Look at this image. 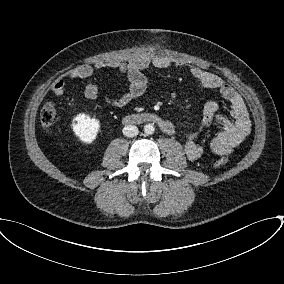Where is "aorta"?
I'll list each match as a JSON object with an SVG mask.
<instances>
[{
	"mask_svg": "<svg viewBox=\"0 0 284 284\" xmlns=\"http://www.w3.org/2000/svg\"><path fill=\"white\" fill-rule=\"evenodd\" d=\"M154 131H155V127H154L153 124H146V125L144 126V132H145L146 134L151 135V134L154 133Z\"/></svg>",
	"mask_w": 284,
	"mask_h": 284,
	"instance_id": "1",
	"label": "aorta"
}]
</instances>
